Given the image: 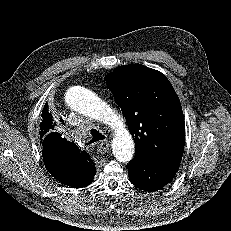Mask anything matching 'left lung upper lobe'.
<instances>
[{"label": "left lung upper lobe", "instance_id": "1", "mask_svg": "<svg viewBox=\"0 0 231 231\" xmlns=\"http://www.w3.org/2000/svg\"><path fill=\"white\" fill-rule=\"evenodd\" d=\"M136 145L135 158L181 162L185 124L180 100L168 79L142 64L118 67L105 77Z\"/></svg>", "mask_w": 231, "mask_h": 231}]
</instances>
